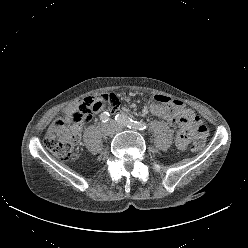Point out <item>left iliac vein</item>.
Listing matches in <instances>:
<instances>
[{
	"mask_svg": "<svg viewBox=\"0 0 248 248\" xmlns=\"http://www.w3.org/2000/svg\"><path fill=\"white\" fill-rule=\"evenodd\" d=\"M110 123L115 125L116 132H120L123 130V128L120 125L116 124L115 122L111 121Z\"/></svg>",
	"mask_w": 248,
	"mask_h": 248,
	"instance_id": "4c4485c4",
	"label": "left iliac vein"
}]
</instances>
